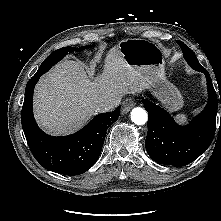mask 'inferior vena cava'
Here are the masks:
<instances>
[{"mask_svg": "<svg viewBox=\"0 0 221 221\" xmlns=\"http://www.w3.org/2000/svg\"><path fill=\"white\" fill-rule=\"evenodd\" d=\"M121 102L120 96H112L109 98L101 99L98 102V107L103 111H111L115 109Z\"/></svg>", "mask_w": 221, "mask_h": 221, "instance_id": "602c4592", "label": "inferior vena cava"}]
</instances>
